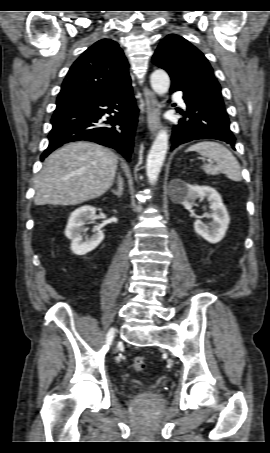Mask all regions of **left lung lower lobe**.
<instances>
[{"label": "left lung lower lobe", "mask_w": 270, "mask_h": 453, "mask_svg": "<svg viewBox=\"0 0 270 453\" xmlns=\"http://www.w3.org/2000/svg\"><path fill=\"white\" fill-rule=\"evenodd\" d=\"M181 90L172 85L170 91ZM187 110L181 112L185 117L173 126L172 147L198 139H217L231 145L235 150V137L230 130L228 115L225 111L211 105L203 104L185 92L183 96Z\"/></svg>", "instance_id": "left-lung-lower-lobe-1"}]
</instances>
